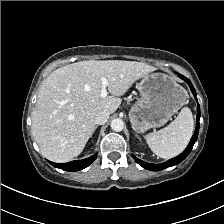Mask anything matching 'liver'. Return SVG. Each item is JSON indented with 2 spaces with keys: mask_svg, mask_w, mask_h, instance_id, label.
I'll use <instances>...</instances> for the list:
<instances>
[{
  "mask_svg": "<svg viewBox=\"0 0 224 224\" xmlns=\"http://www.w3.org/2000/svg\"><path fill=\"white\" fill-rule=\"evenodd\" d=\"M156 68L123 60L80 61L53 71L43 82L32 113V134L41 154L64 163L78 156L95 131L96 114L114 113L138 79ZM110 95L100 97L101 79Z\"/></svg>",
  "mask_w": 224,
  "mask_h": 224,
  "instance_id": "obj_1",
  "label": "liver"
}]
</instances>
